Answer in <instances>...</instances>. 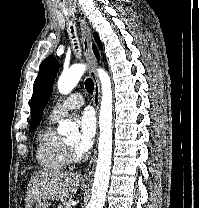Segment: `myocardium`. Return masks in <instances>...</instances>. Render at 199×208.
Returning a JSON list of instances; mask_svg holds the SVG:
<instances>
[{"instance_id":"1","label":"myocardium","mask_w":199,"mask_h":208,"mask_svg":"<svg viewBox=\"0 0 199 208\" xmlns=\"http://www.w3.org/2000/svg\"><path fill=\"white\" fill-rule=\"evenodd\" d=\"M65 145L68 153L69 162L75 163L82 160V155L78 153L72 145H70L68 142H66Z\"/></svg>"}]
</instances>
